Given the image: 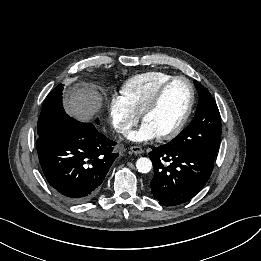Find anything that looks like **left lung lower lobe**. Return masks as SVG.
Here are the masks:
<instances>
[{
	"mask_svg": "<svg viewBox=\"0 0 261 261\" xmlns=\"http://www.w3.org/2000/svg\"><path fill=\"white\" fill-rule=\"evenodd\" d=\"M154 168L151 193L165 206L183 204L198 194L211 176L214 159L169 142L149 153Z\"/></svg>",
	"mask_w": 261,
	"mask_h": 261,
	"instance_id": "0a47b994",
	"label": "left lung lower lobe"
}]
</instances>
